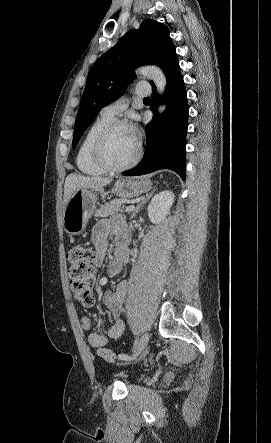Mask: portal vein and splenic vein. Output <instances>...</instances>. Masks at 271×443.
Returning <instances> with one entry per match:
<instances>
[{
  "label": "portal vein and splenic vein",
  "mask_w": 271,
  "mask_h": 443,
  "mask_svg": "<svg viewBox=\"0 0 271 443\" xmlns=\"http://www.w3.org/2000/svg\"><path fill=\"white\" fill-rule=\"evenodd\" d=\"M135 206H127L125 212H134Z\"/></svg>",
  "instance_id": "obj_1"
}]
</instances>
